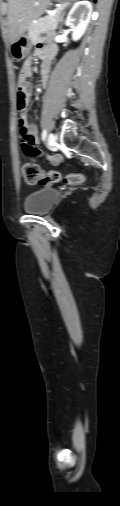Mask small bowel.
<instances>
[{"label": "small bowel", "mask_w": 120, "mask_h": 506, "mask_svg": "<svg viewBox=\"0 0 120 506\" xmlns=\"http://www.w3.org/2000/svg\"><path fill=\"white\" fill-rule=\"evenodd\" d=\"M55 53H56V48L54 46H46L42 42H38L37 45H36V48L34 50V55L41 60V69H40V71H41V79H40V82H41V86L42 87H46L47 84H48V81H49L48 72L50 70V67H51L53 58L55 56ZM31 65H32V59L28 58L23 63L21 71H20V74H19V78H18V84L23 85V87L28 92L30 91V85L27 82V78L32 73V67H31ZM28 102H29V99H28ZM19 125H20V133L22 135H24V134H30L31 136H33V138L35 139L36 143L38 142V138H39L38 137V129H37L36 125H34L33 123H31L29 121V118H28V115H27V111H25L24 115L21 117V119L19 121ZM26 154L29 155V156H32L29 153H26ZM36 156H40V154L38 153L37 155L32 156V157H36ZM49 160L51 162L55 163L59 159H58V157H49Z\"/></svg>", "instance_id": "1"}]
</instances>
